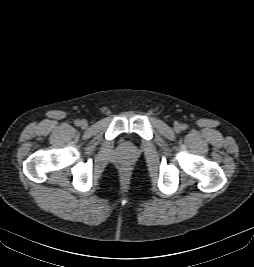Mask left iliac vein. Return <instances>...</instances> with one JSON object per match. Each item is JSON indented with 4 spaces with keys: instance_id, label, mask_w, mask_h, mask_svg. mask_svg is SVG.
Here are the masks:
<instances>
[{
    "instance_id": "1",
    "label": "left iliac vein",
    "mask_w": 254,
    "mask_h": 267,
    "mask_svg": "<svg viewBox=\"0 0 254 267\" xmlns=\"http://www.w3.org/2000/svg\"><path fill=\"white\" fill-rule=\"evenodd\" d=\"M174 129H175V131L178 132L180 130V126L179 125H175Z\"/></svg>"
}]
</instances>
